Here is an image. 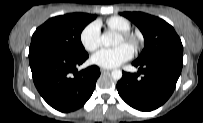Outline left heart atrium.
Segmentation results:
<instances>
[{
	"instance_id": "1",
	"label": "left heart atrium",
	"mask_w": 203,
	"mask_h": 123,
	"mask_svg": "<svg viewBox=\"0 0 203 123\" xmlns=\"http://www.w3.org/2000/svg\"><path fill=\"white\" fill-rule=\"evenodd\" d=\"M133 50L127 44H120L113 48H103L92 56V62L103 68H114L130 60Z\"/></svg>"
}]
</instances>
